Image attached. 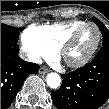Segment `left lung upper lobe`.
Returning a JSON list of instances; mask_svg holds the SVG:
<instances>
[{
	"label": "left lung upper lobe",
	"instance_id": "obj_1",
	"mask_svg": "<svg viewBox=\"0 0 109 109\" xmlns=\"http://www.w3.org/2000/svg\"><path fill=\"white\" fill-rule=\"evenodd\" d=\"M96 25L100 28L103 36V46L109 45V30L97 18H93Z\"/></svg>",
	"mask_w": 109,
	"mask_h": 109
}]
</instances>
